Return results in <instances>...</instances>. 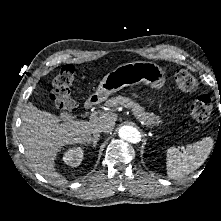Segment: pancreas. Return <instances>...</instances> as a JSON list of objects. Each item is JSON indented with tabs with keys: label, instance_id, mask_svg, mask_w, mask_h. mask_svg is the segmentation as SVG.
<instances>
[{
	"label": "pancreas",
	"instance_id": "cf45deb5",
	"mask_svg": "<svg viewBox=\"0 0 221 221\" xmlns=\"http://www.w3.org/2000/svg\"><path fill=\"white\" fill-rule=\"evenodd\" d=\"M108 107H116L117 105H123L125 108L132 110L134 116L142 121L146 126L152 127L158 125L161 120L158 116L153 113L145 112V109L138 103L134 102L128 97L118 95L106 101Z\"/></svg>",
	"mask_w": 221,
	"mask_h": 221
}]
</instances>
